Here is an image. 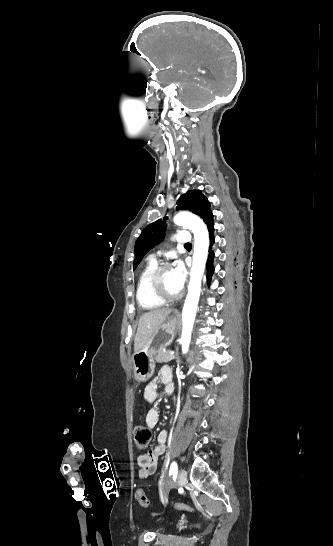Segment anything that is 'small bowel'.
Here are the masks:
<instances>
[{
    "mask_svg": "<svg viewBox=\"0 0 333 546\" xmlns=\"http://www.w3.org/2000/svg\"><path fill=\"white\" fill-rule=\"evenodd\" d=\"M171 378L170 368L167 366L162 367L157 372L155 378L145 387L143 394L144 400L149 404L155 403L160 397V384L165 386L166 393H170L173 389ZM145 420L148 428H154L159 420V411L155 407L150 408L146 414ZM167 435V431H160L156 437V444L154 447L148 453L140 454L138 456V475L141 479H146L156 472V461L157 458L165 452Z\"/></svg>",
    "mask_w": 333,
    "mask_h": 546,
    "instance_id": "c3829d8e",
    "label": "small bowel"
}]
</instances>
